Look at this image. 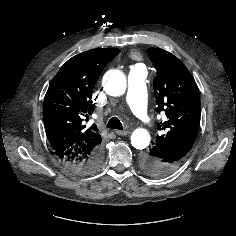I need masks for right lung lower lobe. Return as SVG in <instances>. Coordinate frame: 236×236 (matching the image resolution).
I'll return each instance as SVG.
<instances>
[{"instance_id":"1","label":"right lung lower lobe","mask_w":236,"mask_h":236,"mask_svg":"<svg viewBox=\"0 0 236 236\" xmlns=\"http://www.w3.org/2000/svg\"><path fill=\"white\" fill-rule=\"evenodd\" d=\"M64 164L71 171L78 174L90 175L97 172L103 162V151L97 148L87 159L83 161H69L63 160Z\"/></svg>"}]
</instances>
